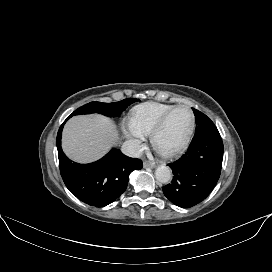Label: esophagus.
Here are the masks:
<instances>
[{
  "instance_id": "1",
  "label": "esophagus",
  "mask_w": 272,
  "mask_h": 272,
  "mask_svg": "<svg viewBox=\"0 0 272 272\" xmlns=\"http://www.w3.org/2000/svg\"><path fill=\"white\" fill-rule=\"evenodd\" d=\"M143 165L146 168H154L156 166L154 162H150V161H145Z\"/></svg>"
}]
</instances>
